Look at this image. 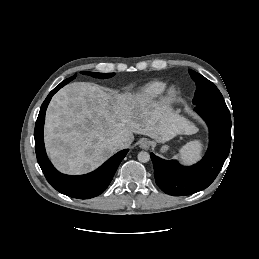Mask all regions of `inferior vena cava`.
I'll use <instances>...</instances> for the list:
<instances>
[{
    "instance_id": "602c4592",
    "label": "inferior vena cava",
    "mask_w": 259,
    "mask_h": 259,
    "mask_svg": "<svg viewBox=\"0 0 259 259\" xmlns=\"http://www.w3.org/2000/svg\"><path fill=\"white\" fill-rule=\"evenodd\" d=\"M110 142L118 147V148H123L126 146V140L124 137L120 136V135H115L110 139Z\"/></svg>"
}]
</instances>
